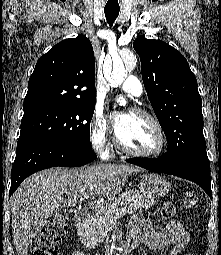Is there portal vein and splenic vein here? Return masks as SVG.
Returning a JSON list of instances; mask_svg holds the SVG:
<instances>
[{"label": "portal vein and splenic vein", "mask_w": 221, "mask_h": 255, "mask_svg": "<svg viewBox=\"0 0 221 255\" xmlns=\"http://www.w3.org/2000/svg\"><path fill=\"white\" fill-rule=\"evenodd\" d=\"M88 198V194H85L84 196H83V199L85 200V199H87ZM95 210H97L98 212H101V211H104L105 210V208L103 207V206H98V205H96L95 206ZM127 213V208L125 207V208H122V209H120L119 211H117L116 212V216L117 217H120V216H122V215H125Z\"/></svg>", "instance_id": "1"}]
</instances>
